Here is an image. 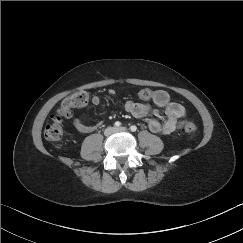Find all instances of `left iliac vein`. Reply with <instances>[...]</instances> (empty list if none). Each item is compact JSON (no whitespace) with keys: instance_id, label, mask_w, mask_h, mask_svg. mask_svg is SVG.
I'll list each match as a JSON object with an SVG mask.
<instances>
[{"instance_id":"4c4485c4","label":"left iliac vein","mask_w":243,"mask_h":243,"mask_svg":"<svg viewBox=\"0 0 243 243\" xmlns=\"http://www.w3.org/2000/svg\"><path fill=\"white\" fill-rule=\"evenodd\" d=\"M126 131H127L126 127H120L115 129V132H126Z\"/></svg>"}]
</instances>
